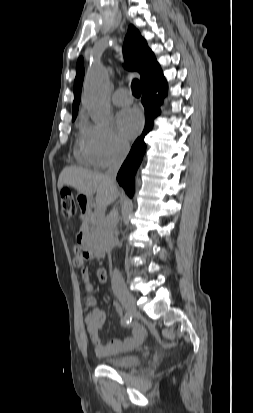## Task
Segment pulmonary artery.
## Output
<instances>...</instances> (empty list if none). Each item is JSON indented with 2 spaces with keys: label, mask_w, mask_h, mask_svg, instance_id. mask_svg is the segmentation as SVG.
Instances as JSON below:
<instances>
[{
  "label": "pulmonary artery",
  "mask_w": 253,
  "mask_h": 413,
  "mask_svg": "<svg viewBox=\"0 0 253 413\" xmlns=\"http://www.w3.org/2000/svg\"><path fill=\"white\" fill-rule=\"evenodd\" d=\"M112 101L117 106H126L133 102V97L126 89L122 88L113 93Z\"/></svg>",
  "instance_id": "1"
}]
</instances>
